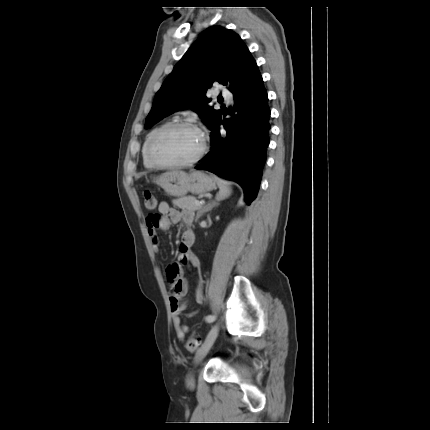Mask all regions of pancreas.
<instances>
[{"instance_id": "obj_1", "label": "pancreas", "mask_w": 430, "mask_h": 430, "mask_svg": "<svg viewBox=\"0 0 430 430\" xmlns=\"http://www.w3.org/2000/svg\"><path fill=\"white\" fill-rule=\"evenodd\" d=\"M196 198L194 196H186L178 199H174L172 203L181 209H187L191 211L200 210L201 206L195 204Z\"/></svg>"}]
</instances>
